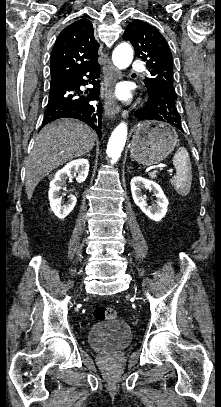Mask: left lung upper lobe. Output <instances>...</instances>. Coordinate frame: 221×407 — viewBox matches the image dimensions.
<instances>
[{"instance_id":"1","label":"left lung upper lobe","mask_w":221,"mask_h":407,"mask_svg":"<svg viewBox=\"0 0 221 407\" xmlns=\"http://www.w3.org/2000/svg\"><path fill=\"white\" fill-rule=\"evenodd\" d=\"M123 39L134 46L135 54L146 62L150 76L144 79L148 93L158 87H173L172 53L165 38L152 25L135 20L127 26Z\"/></svg>"}]
</instances>
